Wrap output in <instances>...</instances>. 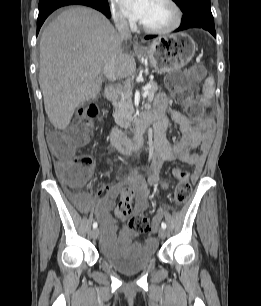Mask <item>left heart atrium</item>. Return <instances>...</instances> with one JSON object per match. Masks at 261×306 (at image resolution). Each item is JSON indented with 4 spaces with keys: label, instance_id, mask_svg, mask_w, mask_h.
I'll list each match as a JSON object with an SVG mask.
<instances>
[{
    "label": "left heart atrium",
    "instance_id": "obj_1",
    "mask_svg": "<svg viewBox=\"0 0 261 306\" xmlns=\"http://www.w3.org/2000/svg\"><path fill=\"white\" fill-rule=\"evenodd\" d=\"M123 13L133 20L140 21L150 0H118Z\"/></svg>",
    "mask_w": 261,
    "mask_h": 306
}]
</instances>
